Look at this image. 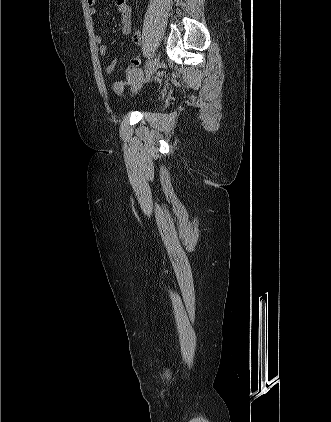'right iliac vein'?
I'll use <instances>...</instances> for the list:
<instances>
[{"label":"right iliac vein","mask_w":331,"mask_h":422,"mask_svg":"<svg viewBox=\"0 0 331 422\" xmlns=\"http://www.w3.org/2000/svg\"><path fill=\"white\" fill-rule=\"evenodd\" d=\"M159 67V60L158 59H154L152 64L149 65L147 71H146V80H149L151 78V76L157 71Z\"/></svg>","instance_id":"1"}]
</instances>
